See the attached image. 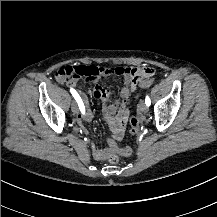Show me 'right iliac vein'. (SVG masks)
I'll return each instance as SVG.
<instances>
[{
	"label": "right iliac vein",
	"instance_id": "1",
	"mask_svg": "<svg viewBox=\"0 0 217 217\" xmlns=\"http://www.w3.org/2000/svg\"><path fill=\"white\" fill-rule=\"evenodd\" d=\"M71 109H72V112H73L74 114H78L79 109H78V105H77V103H76L75 101L72 102V104H71Z\"/></svg>",
	"mask_w": 217,
	"mask_h": 217
}]
</instances>
